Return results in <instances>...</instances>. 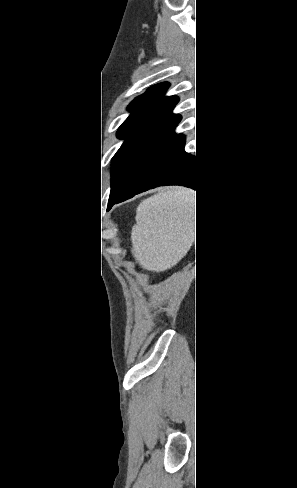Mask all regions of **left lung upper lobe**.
<instances>
[{"label":"left lung upper lobe","instance_id":"left-lung-upper-lobe-1","mask_svg":"<svg viewBox=\"0 0 297 488\" xmlns=\"http://www.w3.org/2000/svg\"><path fill=\"white\" fill-rule=\"evenodd\" d=\"M168 87L169 83L154 85L128 107L131 115L117 132L125 142L112 158L109 202L118 197L146 163L177 135L174 129L181 116L171 112L179 98L164 96Z\"/></svg>","mask_w":297,"mask_h":488}]
</instances>
